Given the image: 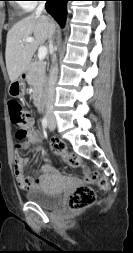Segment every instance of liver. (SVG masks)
<instances>
[{"label": "liver", "mask_w": 133, "mask_h": 253, "mask_svg": "<svg viewBox=\"0 0 133 253\" xmlns=\"http://www.w3.org/2000/svg\"><path fill=\"white\" fill-rule=\"evenodd\" d=\"M51 28L55 30V24L51 18L33 13L18 21L8 31L5 60L11 82L17 80L22 73L27 71L33 54L39 45L45 43ZM27 37H32L34 41H24Z\"/></svg>", "instance_id": "1"}]
</instances>
